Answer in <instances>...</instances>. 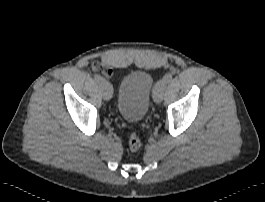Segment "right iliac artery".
<instances>
[{
    "label": "right iliac artery",
    "instance_id": "1",
    "mask_svg": "<svg viewBox=\"0 0 265 202\" xmlns=\"http://www.w3.org/2000/svg\"><path fill=\"white\" fill-rule=\"evenodd\" d=\"M94 80L97 83H101L102 81H104V79L100 75H97V74L94 75Z\"/></svg>",
    "mask_w": 265,
    "mask_h": 202
}]
</instances>
